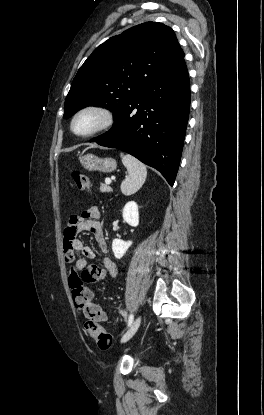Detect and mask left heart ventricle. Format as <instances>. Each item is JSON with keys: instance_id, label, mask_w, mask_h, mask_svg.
I'll return each instance as SVG.
<instances>
[{"instance_id": "left-heart-ventricle-1", "label": "left heart ventricle", "mask_w": 264, "mask_h": 415, "mask_svg": "<svg viewBox=\"0 0 264 415\" xmlns=\"http://www.w3.org/2000/svg\"><path fill=\"white\" fill-rule=\"evenodd\" d=\"M101 121V116L97 113L87 112L82 114L75 123V130L78 133H87L95 128Z\"/></svg>"}]
</instances>
